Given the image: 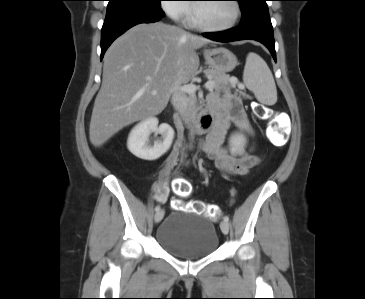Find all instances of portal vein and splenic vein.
Wrapping results in <instances>:
<instances>
[{"label": "portal vein and splenic vein", "instance_id": "portal-vein-and-splenic-vein-1", "mask_svg": "<svg viewBox=\"0 0 365 299\" xmlns=\"http://www.w3.org/2000/svg\"><path fill=\"white\" fill-rule=\"evenodd\" d=\"M214 87V82L213 81H208L205 83V88L208 90H212ZM198 87L194 84H187L181 87V91L188 93V94H195V92L197 91ZM157 92L153 91L152 95H156Z\"/></svg>", "mask_w": 365, "mask_h": 299}]
</instances>
